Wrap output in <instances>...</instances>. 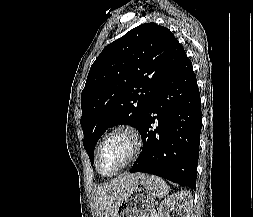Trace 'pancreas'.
<instances>
[{"instance_id": "obj_1", "label": "pancreas", "mask_w": 253, "mask_h": 217, "mask_svg": "<svg viewBox=\"0 0 253 217\" xmlns=\"http://www.w3.org/2000/svg\"><path fill=\"white\" fill-rule=\"evenodd\" d=\"M146 217H157V215L154 213V210H150Z\"/></svg>"}]
</instances>
